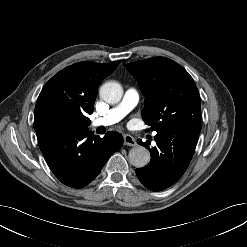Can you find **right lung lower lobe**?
I'll use <instances>...</instances> for the list:
<instances>
[{"label": "right lung lower lobe", "mask_w": 247, "mask_h": 247, "mask_svg": "<svg viewBox=\"0 0 247 247\" xmlns=\"http://www.w3.org/2000/svg\"><path fill=\"white\" fill-rule=\"evenodd\" d=\"M38 141L53 174L73 188L93 181L109 157L123 145V137L117 132H107L100 138L89 134L88 128L47 131Z\"/></svg>", "instance_id": "obj_1"}]
</instances>
